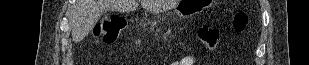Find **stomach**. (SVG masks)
I'll use <instances>...</instances> for the list:
<instances>
[{
  "instance_id": "obj_1",
  "label": "stomach",
  "mask_w": 309,
  "mask_h": 65,
  "mask_svg": "<svg viewBox=\"0 0 309 65\" xmlns=\"http://www.w3.org/2000/svg\"><path fill=\"white\" fill-rule=\"evenodd\" d=\"M211 4V0H182L176 5L175 12L178 16L187 18L203 12Z\"/></svg>"
}]
</instances>
